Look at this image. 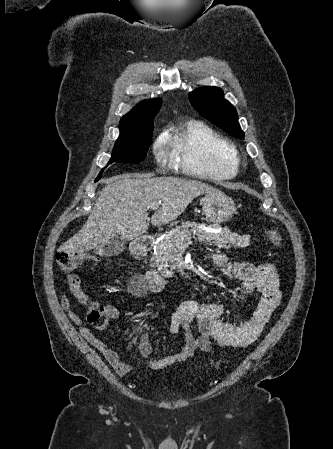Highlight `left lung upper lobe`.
I'll return each instance as SVG.
<instances>
[{
  "instance_id": "obj_1",
  "label": "left lung upper lobe",
  "mask_w": 333,
  "mask_h": 449,
  "mask_svg": "<svg viewBox=\"0 0 333 449\" xmlns=\"http://www.w3.org/2000/svg\"><path fill=\"white\" fill-rule=\"evenodd\" d=\"M193 107L204 118L231 135L244 138V132L238 123L236 109L224 99L223 91L218 87H202L189 94Z\"/></svg>"
}]
</instances>
